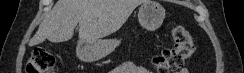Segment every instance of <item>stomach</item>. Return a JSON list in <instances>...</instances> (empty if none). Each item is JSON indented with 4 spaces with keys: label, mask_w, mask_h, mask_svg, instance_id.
<instances>
[{
    "label": "stomach",
    "mask_w": 244,
    "mask_h": 73,
    "mask_svg": "<svg viewBox=\"0 0 244 73\" xmlns=\"http://www.w3.org/2000/svg\"><path fill=\"white\" fill-rule=\"evenodd\" d=\"M165 18V9L154 0H146L138 11L140 24L147 30H155L161 26ZM121 41L117 39H98L93 41H80L76 47L77 56L86 62H92L112 53Z\"/></svg>",
    "instance_id": "1"
}]
</instances>
